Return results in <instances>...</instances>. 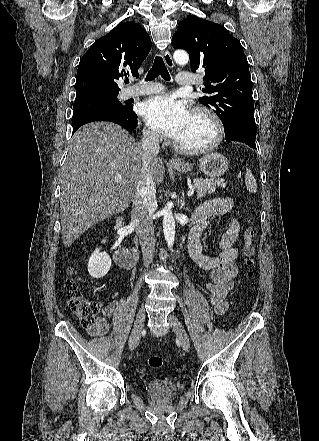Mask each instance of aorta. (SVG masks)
I'll use <instances>...</instances> for the list:
<instances>
[{
  "instance_id": "aorta-1",
  "label": "aorta",
  "mask_w": 319,
  "mask_h": 441,
  "mask_svg": "<svg viewBox=\"0 0 319 441\" xmlns=\"http://www.w3.org/2000/svg\"><path fill=\"white\" fill-rule=\"evenodd\" d=\"M175 62L179 65H186L189 61L187 51L183 49L176 50L173 54ZM163 214V231L167 246L172 249L175 241V219L172 213V203L168 202L162 211Z\"/></svg>"
}]
</instances>
